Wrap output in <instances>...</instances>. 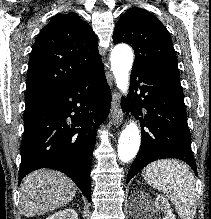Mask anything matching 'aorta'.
<instances>
[{
    "label": "aorta",
    "instance_id": "obj_1",
    "mask_svg": "<svg viewBox=\"0 0 211 219\" xmlns=\"http://www.w3.org/2000/svg\"><path fill=\"white\" fill-rule=\"evenodd\" d=\"M133 64V51L125 44L114 47L111 52V69L115 82L122 94L126 95L129 87V72ZM140 133L135 122H130L122 130L118 140V157L122 162L131 161L140 147Z\"/></svg>",
    "mask_w": 211,
    "mask_h": 219
}]
</instances>
